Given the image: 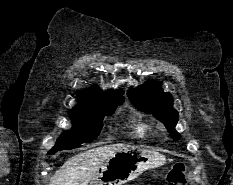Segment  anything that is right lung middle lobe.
<instances>
[{
  "mask_svg": "<svg viewBox=\"0 0 233 185\" xmlns=\"http://www.w3.org/2000/svg\"><path fill=\"white\" fill-rule=\"evenodd\" d=\"M122 103L123 101H116L92 107H75L72 111L73 130L63 132L48 154L77 148L82 143L94 140L101 131L104 116L112 115L117 105Z\"/></svg>",
  "mask_w": 233,
  "mask_h": 185,
  "instance_id": "right-lung-middle-lobe-1",
  "label": "right lung middle lobe"
}]
</instances>
